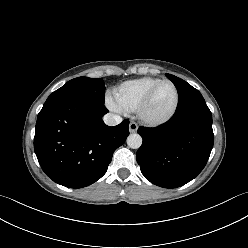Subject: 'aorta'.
<instances>
[{
	"label": "aorta",
	"mask_w": 248,
	"mask_h": 248,
	"mask_svg": "<svg viewBox=\"0 0 248 248\" xmlns=\"http://www.w3.org/2000/svg\"><path fill=\"white\" fill-rule=\"evenodd\" d=\"M127 145L132 149L140 148L142 145V137L137 133L130 134L127 137Z\"/></svg>",
	"instance_id": "762f6f07"
}]
</instances>
